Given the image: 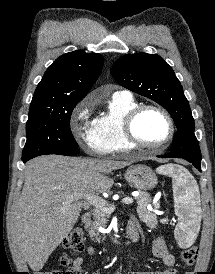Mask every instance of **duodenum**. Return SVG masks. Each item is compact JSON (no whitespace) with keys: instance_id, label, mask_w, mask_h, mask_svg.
Returning <instances> with one entry per match:
<instances>
[{"instance_id":"obj_1","label":"duodenum","mask_w":215,"mask_h":274,"mask_svg":"<svg viewBox=\"0 0 215 274\" xmlns=\"http://www.w3.org/2000/svg\"><path fill=\"white\" fill-rule=\"evenodd\" d=\"M91 220V213L90 212H85L81 216V221L86 224ZM138 235V230L134 227H130L128 231V236L131 241H134L135 238Z\"/></svg>"}]
</instances>
